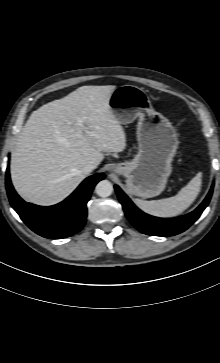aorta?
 <instances>
[{
    "label": "aorta",
    "mask_w": 220,
    "mask_h": 363,
    "mask_svg": "<svg viewBox=\"0 0 220 363\" xmlns=\"http://www.w3.org/2000/svg\"><path fill=\"white\" fill-rule=\"evenodd\" d=\"M96 194L100 197H108L113 192V185L108 180H101L95 187Z\"/></svg>",
    "instance_id": "obj_1"
}]
</instances>
